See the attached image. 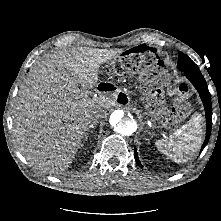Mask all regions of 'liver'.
I'll return each instance as SVG.
<instances>
[{
	"label": "liver",
	"instance_id": "6515ba94",
	"mask_svg": "<svg viewBox=\"0 0 221 221\" xmlns=\"http://www.w3.org/2000/svg\"><path fill=\"white\" fill-rule=\"evenodd\" d=\"M121 49L72 48L46 55L29 71L20 88L13 134L26 160L51 172L72 163L94 115H107L114 102L86 89L98 85L103 63Z\"/></svg>",
	"mask_w": 221,
	"mask_h": 221
}]
</instances>
